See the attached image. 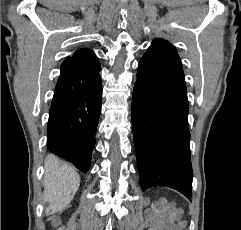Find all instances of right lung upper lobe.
<instances>
[{
	"label": "right lung upper lobe",
	"instance_id": "right-lung-upper-lobe-1",
	"mask_svg": "<svg viewBox=\"0 0 241 230\" xmlns=\"http://www.w3.org/2000/svg\"><path fill=\"white\" fill-rule=\"evenodd\" d=\"M69 59L74 60L80 66L90 67V68H99L100 62L97 56L90 49H80L77 50L72 57Z\"/></svg>",
	"mask_w": 241,
	"mask_h": 230
}]
</instances>
